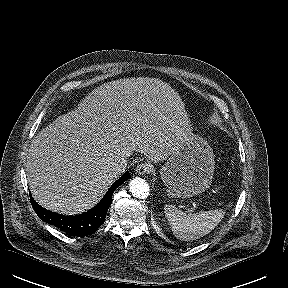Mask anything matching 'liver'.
<instances>
[{"mask_svg": "<svg viewBox=\"0 0 288 288\" xmlns=\"http://www.w3.org/2000/svg\"><path fill=\"white\" fill-rule=\"evenodd\" d=\"M189 124L168 83L147 77L105 83L32 140L26 165L32 196L57 213L85 212L121 176L110 173L112 162L134 152L166 160L192 134Z\"/></svg>", "mask_w": 288, "mask_h": 288, "instance_id": "6515ba94", "label": "liver"}]
</instances>
